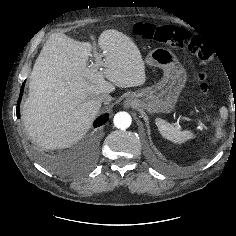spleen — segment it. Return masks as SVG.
Wrapping results in <instances>:
<instances>
[{
	"mask_svg": "<svg viewBox=\"0 0 236 236\" xmlns=\"http://www.w3.org/2000/svg\"><path fill=\"white\" fill-rule=\"evenodd\" d=\"M221 118L225 120L227 118V109L222 107L220 109ZM222 124V122H220ZM155 124L162 135L166 140H169L173 143L182 144L188 140L195 138V135L189 130H181L178 127L166 122L161 118L155 119ZM223 136L222 128H217L216 140L220 139Z\"/></svg>",
	"mask_w": 236,
	"mask_h": 236,
	"instance_id": "1",
	"label": "spleen"
}]
</instances>
